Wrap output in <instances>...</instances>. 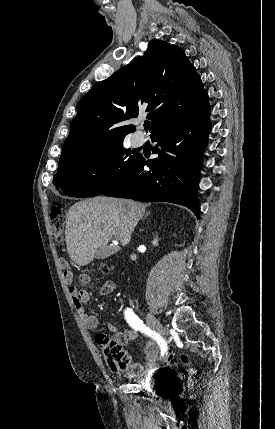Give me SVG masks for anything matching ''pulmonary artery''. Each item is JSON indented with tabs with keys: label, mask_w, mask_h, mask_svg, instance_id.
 Returning <instances> with one entry per match:
<instances>
[{
	"label": "pulmonary artery",
	"mask_w": 275,
	"mask_h": 429,
	"mask_svg": "<svg viewBox=\"0 0 275 429\" xmlns=\"http://www.w3.org/2000/svg\"><path fill=\"white\" fill-rule=\"evenodd\" d=\"M144 142V136L142 134H135L133 136V144L135 146H140Z\"/></svg>",
	"instance_id": "pulmonary-artery-1"
}]
</instances>
